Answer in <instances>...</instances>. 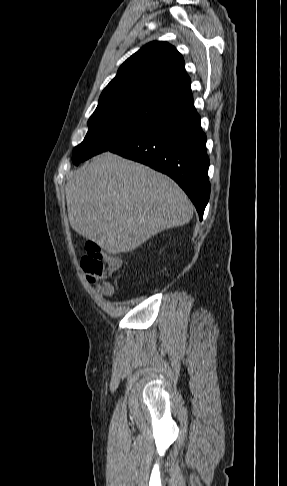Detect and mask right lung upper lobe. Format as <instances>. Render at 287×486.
<instances>
[{
	"label": "right lung upper lobe",
	"mask_w": 287,
	"mask_h": 486,
	"mask_svg": "<svg viewBox=\"0 0 287 486\" xmlns=\"http://www.w3.org/2000/svg\"><path fill=\"white\" fill-rule=\"evenodd\" d=\"M190 84L182 55L169 43L154 41L121 65L97 107L147 103L172 111L193 101Z\"/></svg>",
	"instance_id": "cb5924a9"
}]
</instances>
